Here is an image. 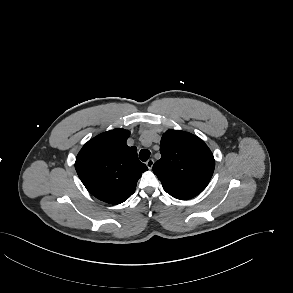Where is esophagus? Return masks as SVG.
I'll return each instance as SVG.
<instances>
[{
    "mask_svg": "<svg viewBox=\"0 0 293 293\" xmlns=\"http://www.w3.org/2000/svg\"><path fill=\"white\" fill-rule=\"evenodd\" d=\"M153 164H154V160H153V159H149V160L146 162V165H147L148 169H152Z\"/></svg>",
    "mask_w": 293,
    "mask_h": 293,
    "instance_id": "34e87169",
    "label": "esophagus"
}]
</instances>
